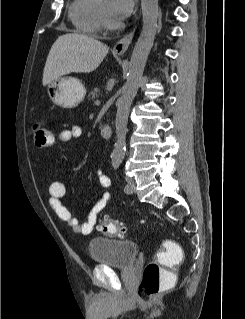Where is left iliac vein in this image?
Returning a JSON list of instances; mask_svg holds the SVG:
<instances>
[{
    "instance_id": "4c4485c4",
    "label": "left iliac vein",
    "mask_w": 245,
    "mask_h": 319,
    "mask_svg": "<svg viewBox=\"0 0 245 319\" xmlns=\"http://www.w3.org/2000/svg\"><path fill=\"white\" fill-rule=\"evenodd\" d=\"M126 181H127L128 187H129V189H128L126 192H127V193H133V192H135V189H136L135 180H134L133 178L126 177Z\"/></svg>"
}]
</instances>
